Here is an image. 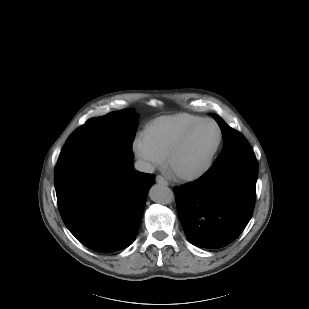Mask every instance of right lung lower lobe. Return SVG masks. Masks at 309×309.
<instances>
[{"instance_id":"98d812e1","label":"right lung lower lobe","mask_w":309,"mask_h":309,"mask_svg":"<svg viewBox=\"0 0 309 309\" xmlns=\"http://www.w3.org/2000/svg\"><path fill=\"white\" fill-rule=\"evenodd\" d=\"M132 152L96 147L55 173L62 219L88 248L109 253L131 245L153 176L134 170Z\"/></svg>"}]
</instances>
